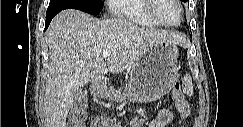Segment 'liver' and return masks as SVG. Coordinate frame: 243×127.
<instances>
[{"label":"liver","mask_w":243,"mask_h":127,"mask_svg":"<svg viewBox=\"0 0 243 127\" xmlns=\"http://www.w3.org/2000/svg\"><path fill=\"white\" fill-rule=\"evenodd\" d=\"M49 68L44 108L47 127H66L76 92L108 72H123L160 42L187 46L184 34L146 29L120 19L97 20L78 10L54 17L48 32ZM104 50H111L107 60Z\"/></svg>","instance_id":"6515ba94"}]
</instances>
